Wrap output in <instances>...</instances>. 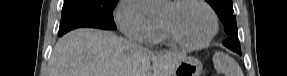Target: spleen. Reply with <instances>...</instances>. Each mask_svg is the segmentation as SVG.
Segmentation results:
<instances>
[{"instance_id": "3e777b00", "label": "spleen", "mask_w": 287, "mask_h": 76, "mask_svg": "<svg viewBox=\"0 0 287 76\" xmlns=\"http://www.w3.org/2000/svg\"><path fill=\"white\" fill-rule=\"evenodd\" d=\"M213 63L216 70L225 74V76H243L239 64L228 54L216 52L213 56Z\"/></svg>"}]
</instances>
